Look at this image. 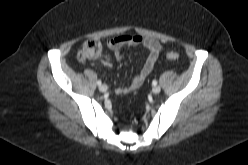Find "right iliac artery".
<instances>
[{
    "instance_id": "obj_1",
    "label": "right iliac artery",
    "mask_w": 248,
    "mask_h": 165,
    "mask_svg": "<svg viewBox=\"0 0 248 165\" xmlns=\"http://www.w3.org/2000/svg\"><path fill=\"white\" fill-rule=\"evenodd\" d=\"M97 84L100 86L102 84V82L100 80H98Z\"/></svg>"
}]
</instances>
